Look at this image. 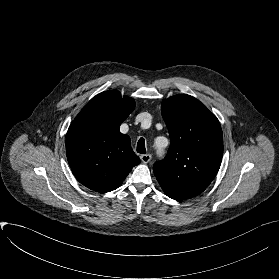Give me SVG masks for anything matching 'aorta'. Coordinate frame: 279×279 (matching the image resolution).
<instances>
[{"instance_id": "aorta-1", "label": "aorta", "mask_w": 279, "mask_h": 279, "mask_svg": "<svg viewBox=\"0 0 279 279\" xmlns=\"http://www.w3.org/2000/svg\"><path fill=\"white\" fill-rule=\"evenodd\" d=\"M158 141H159V139L156 140V147L157 148H159Z\"/></svg>"}]
</instances>
